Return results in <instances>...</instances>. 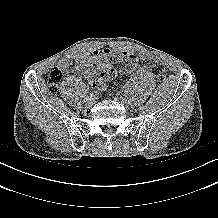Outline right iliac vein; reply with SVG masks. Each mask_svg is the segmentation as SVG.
Here are the masks:
<instances>
[{"instance_id": "1", "label": "right iliac vein", "mask_w": 218, "mask_h": 218, "mask_svg": "<svg viewBox=\"0 0 218 218\" xmlns=\"http://www.w3.org/2000/svg\"><path fill=\"white\" fill-rule=\"evenodd\" d=\"M96 102V96L95 95H92L91 97L89 96L87 99H86V107L87 108H91Z\"/></svg>"}]
</instances>
